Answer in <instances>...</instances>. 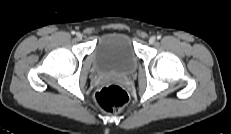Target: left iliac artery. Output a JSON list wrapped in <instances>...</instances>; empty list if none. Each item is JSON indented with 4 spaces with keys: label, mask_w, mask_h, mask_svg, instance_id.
Segmentation results:
<instances>
[{
    "label": "left iliac artery",
    "mask_w": 231,
    "mask_h": 134,
    "mask_svg": "<svg viewBox=\"0 0 231 134\" xmlns=\"http://www.w3.org/2000/svg\"><path fill=\"white\" fill-rule=\"evenodd\" d=\"M160 38H161V36H160V35H158V36H157V39H160Z\"/></svg>",
    "instance_id": "44dca946"
}]
</instances>
